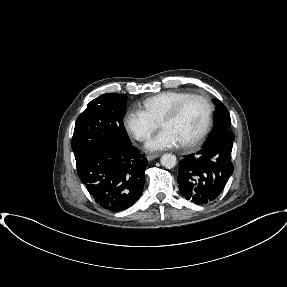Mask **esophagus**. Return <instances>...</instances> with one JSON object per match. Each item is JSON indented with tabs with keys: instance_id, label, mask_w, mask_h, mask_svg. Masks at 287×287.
Listing matches in <instances>:
<instances>
[{
	"instance_id": "34e87169",
	"label": "esophagus",
	"mask_w": 287,
	"mask_h": 287,
	"mask_svg": "<svg viewBox=\"0 0 287 287\" xmlns=\"http://www.w3.org/2000/svg\"><path fill=\"white\" fill-rule=\"evenodd\" d=\"M159 156H160L159 153L149 154V155L147 156V159L150 161V160H153V159L158 158Z\"/></svg>"
}]
</instances>
